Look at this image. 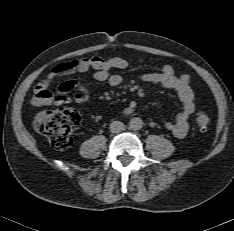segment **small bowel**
Segmentation results:
<instances>
[{
  "mask_svg": "<svg viewBox=\"0 0 234 231\" xmlns=\"http://www.w3.org/2000/svg\"><path fill=\"white\" fill-rule=\"evenodd\" d=\"M144 62L143 58L138 59ZM130 62L126 58L113 57H90L83 58L71 63L69 68L66 65H59L51 69L46 76L36 85L32 104L35 107L46 105H63L68 103H83L90 98L88 87L81 81L70 80L64 82L59 91L54 94L49 90L50 85L59 77L67 76L76 72L94 70V79L100 82H107L111 87H118L122 84V77L112 73L114 70L126 69ZM138 80L143 83L158 84L164 88L175 91L180 99L181 108L174 121L164 120V126L177 138H184L188 133V121L195 109V95L190 86L188 75H176L170 65H162L156 72L140 73ZM74 91L72 96L68 93ZM138 107L137 102H130L122 112L132 114Z\"/></svg>",
  "mask_w": 234,
  "mask_h": 231,
  "instance_id": "obj_1",
  "label": "small bowel"
}]
</instances>
